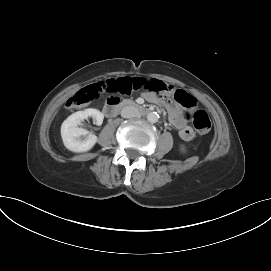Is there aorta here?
I'll return each mask as SVG.
<instances>
[{
    "instance_id": "762f6f07",
    "label": "aorta",
    "mask_w": 271,
    "mask_h": 271,
    "mask_svg": "<svg viewBox=\"0 0 271 271\" xmlns=\"http://www.w3.org/2000/svg\"><path fill=\"white\" fill-rule=\"evenodd\" d=\"M147 120L151 123H156L159 120L157 112H150L147 114Z\"/></svg>"
}]
</instances>
